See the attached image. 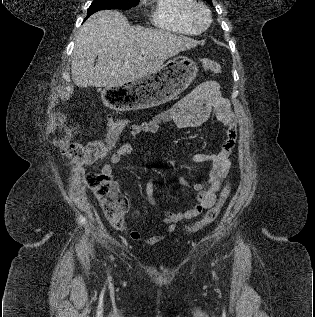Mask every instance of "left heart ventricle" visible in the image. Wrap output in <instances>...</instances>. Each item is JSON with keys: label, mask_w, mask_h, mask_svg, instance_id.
Wrapping results in <instances>:
<instances>
[{"label": "left heart ventricle", "mask_w": 315, "mask_h": 317, "mask_svg": "<svg viewBox=\"0 0 315 317\" xmlns=\"http://www.w3.org/2000/svg\"><path fill=\"white\" fill-rule=\"evenodd\" d=\"M198 19H199V21H200L201 23H205V21H206V16H205V14H204V13H199Z\"/></svg>", "instance_id": "1"}]
</instances>
